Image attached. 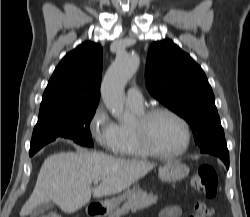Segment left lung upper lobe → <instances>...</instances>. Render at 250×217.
Listing matches in <instances>:
<instances>
[{
	"mask_svg": "<svg viewBox=\"0 0 250 217\" xmlns=\"http://www.w3.org/2000/svg\"><path fill=\"white\" fill-rule=\"evenodd\" d=\"M145 80L154 98L189 123L199 148L225 139L205 73L171 40L151 44Z\"/></svg>",
	"mask_w": 250,
	"mask_h": 217,
	"instance_id": "5c2ea615",
	"label": "left lung upper lobe"
}]
</instances>
